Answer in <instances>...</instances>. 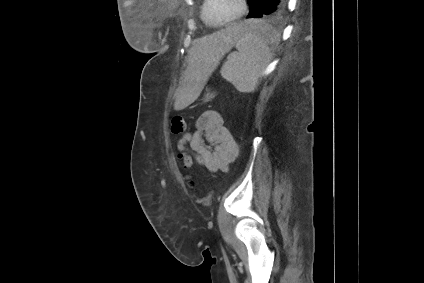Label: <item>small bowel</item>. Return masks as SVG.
<instances>
[{"label": "small bowel", "instance_id": "small-bowel-1", "mask_svg": "<svg viewBox=\"0 0 424 283\" xmlns=\"http://www.w3.org/2000/svg\"><path fill=\"white\" fill-rule=\"evenodd\" d=\"M177 149L211 172L226 171L238 155V146L216 110L203 112L195 130L177 141Z\"/></svg>", "mask_w": 424, "mask_h": 283}]
</instances>
